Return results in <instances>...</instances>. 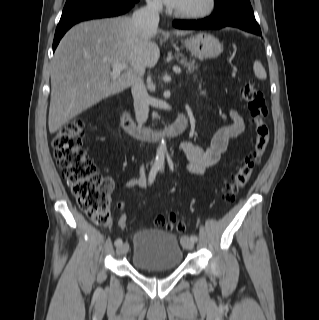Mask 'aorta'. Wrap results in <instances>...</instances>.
<instances>
[{
  "instance_id": "obj_1",
  "label": "aorta",
  "mask_w": 319,
  "mask_h": 320,
  "mask_svg": "<svg viewBox=\"0 0 319 320\" xmlns=\"http://www.w3.org/2000/svg\"><path fill=\"white\" fill-rule=\"evenodd\" d=\"M165 161V143H162L158 146L155 157V165L158 167H163Z\"/></svg>"
}]
</instances>
